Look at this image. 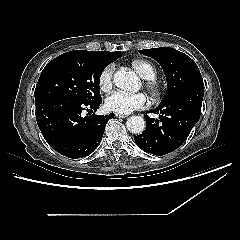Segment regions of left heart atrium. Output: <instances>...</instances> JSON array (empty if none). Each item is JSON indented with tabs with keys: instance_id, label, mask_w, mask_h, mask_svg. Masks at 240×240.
<instances>
[{
	"instance_id": "obj_1",
	"label": "left heart atrium",
	"mask_w": 240,
	"mask_h": 240,
	"mask_svg": "<svg viewBox=\"0 0 240 240\" xmlns=\"http://www.w3.org/2000/svg\"><path fill=\"white\" fill-rule=\"evenodd\" d=\"M147 104V98L143 93H127L115 91L105 101L106 107L118 114H129L141 109Z\"/></svg>"
}]
</instances>
